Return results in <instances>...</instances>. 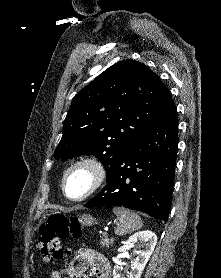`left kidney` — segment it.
<instances>
[{
	"mask_svg": "<svg viewBox=\"0 0 221 278\" xmlns=\"http://www.w3.org/2000/svg\"><path fill=\"white\" fill-rule=\"evenodd\" d=\"M141 243L143 250L136 251L137 257L134 260L131 271L127 272V278H140L150 256L157 243V236L152 231H139L129 237L126 242V249L132 248L135 244ZM122 264L118 262L113 269V278H126L121 276Z\"/></svg>",
	"mask_w": 221,
	"mask_h": 278,
	"instance_id": "5707ae66",
	"label": "left kidney"
}]
</instances>
